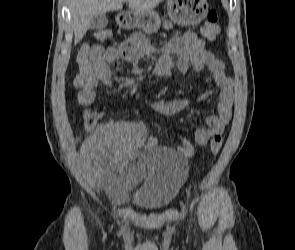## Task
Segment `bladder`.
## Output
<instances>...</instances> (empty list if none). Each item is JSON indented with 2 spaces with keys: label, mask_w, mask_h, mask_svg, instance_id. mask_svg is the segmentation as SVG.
Wrapping results in <instances>:
<instances>
[{
  "label": "bladder",
  "mask_w": 295,
  "mask_h": 250,
  "mask_svg": "<svg viewBox=\"0 0 295 250\" xmlns=\"http://www.w3.org/2000/svg\"><path fill=\"white\" fill-rule=\"evenodd\" d=\"M135 166L145 170L135 196V204L144 210L155 211L168 205L188 174L186 159L171 148L150 149Z\"/></svg>",
  "instance_id": "obj_1"
}]
</instances>
